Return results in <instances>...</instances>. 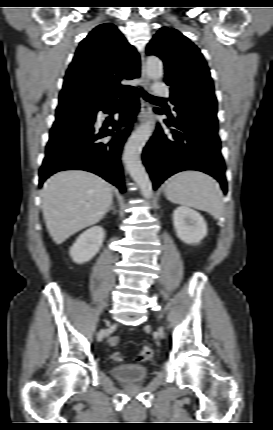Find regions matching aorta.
Instances as JSON below:
<instances>
[{
	"label": "aorta",
	"instance_id": "762f6f07",
	"mask_svg": "<svg viewBox=\"0 0 273 430\" xmlns=\"http://www.w3.org/2000/svg\"><path fill=\"white\" fill-rule=\"evenodd\" d=\"M146 67L147 74L151 79L158 80L163 77V63L158 57H149ZM151 130L150 122L140 125L126 143L123 155L126 170L138 184L143 197L146 199L153 197V190L149 176L141 163L140 154L149 139Z\"/></svg>",
	"mask_w": 273,
	"mask_h": 430
}]
</instances>
